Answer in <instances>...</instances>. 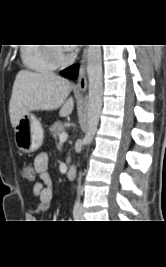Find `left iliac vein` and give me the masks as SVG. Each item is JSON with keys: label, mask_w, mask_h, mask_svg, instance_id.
<instances>
[{"label": "left iliac vein", "mask_w": 166, "mask_h": 267, "mask_svg": "<svg viewBox=\"0 0 166 267\" xmlns=\"http://www.w3.org/2000/svg\"><path fill=\"white\" fill-rule=\"evenodd\" d=\"M80 219H81V220L84 219V210H83L82 207L80 208Z\"/></svg>", "instance_id": "1"}]
</instances>
